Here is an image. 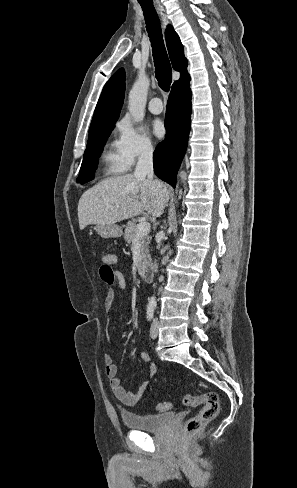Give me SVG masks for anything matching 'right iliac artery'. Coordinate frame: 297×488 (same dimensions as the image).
Returning a JSON list of instances; mask_svg holds the SVG:
<instances>
[{"mask_svg":"<svg viewBox=\"0 0 297 488\" xmlns=\"http://www.w3.org/2000/svg\"><path fill=\"white\" fill-rule=\"evenodd\" d=\"M153 314H154V307L149 306V307L147 308V319H148L149 321H150V320H152V318H153Z\"/></svg>","mask_w":297,"mask_h":488,"instance_id":"82829eb1","label":"right iliac artery"}]
</instances>
